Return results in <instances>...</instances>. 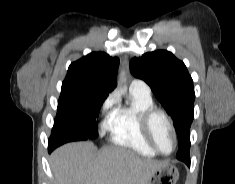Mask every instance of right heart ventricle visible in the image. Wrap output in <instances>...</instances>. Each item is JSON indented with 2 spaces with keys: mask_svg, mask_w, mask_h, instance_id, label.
<instances>
[{
  "mask_svg": "<svg viewBox=\"0 0 235 184\" xmlns=\"http://www.w3.org/2000/svg\"><path fill=\"white\" fill-rule=\"evenodd\" d=\"M133 96V105L118 107L113 114L107 146L110 158L122 159L128 154L149 158L157 156L141 127V116L144 111L154 106L153 100L151 97L134 93Z\"/></svg>",
  "mask_w": 235,
  "mask_h": 184,
  "instance_id": "obj_1",
  "label": "right heart ventricle"
}]
</instances>
